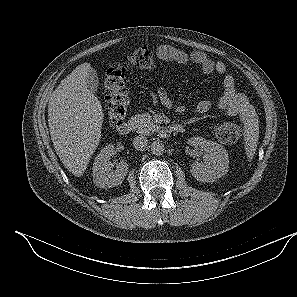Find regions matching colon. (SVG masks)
I'll return each mask as SVG.
<instances>
[{
    "label": "colon",
    "mask_w": 297,
    "mask_h": 297,
    "mask_svg": "<svg viewBox=\"0 0 297 297\" xmlns=\"http://www.w3.org/2000/svg\"><path fill=\"white\" fill-rule=\"evenodd\" d=\"M125 65L142 70H151L155 65L154 54L148 47H140L129 53ZM116 63L110 66L105 74L104 88L107 100V116L112 126H118L125 118L128 105V89L126 84V66ZM215 137L222 143H236L242 135V127L238 123L223 122L214 129Z\"/></svg>",
    "instance_id": "1"
}]
</instances>
